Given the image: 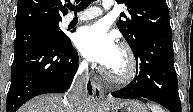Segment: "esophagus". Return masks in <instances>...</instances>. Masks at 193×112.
<instances>
[{
    "mask_svg": "<svg viewBox=\"0 0 193 112\" xmlns=\"http://www.w3.org/2000/svg\"><path fill=\"white\" fill-rule=\"evenodd\" d=\"M93 94L96 100H102L104 98V91L99 83L92 81Z\"/></svg>",
    "mask_w": 193,
    "mask_h": 112,
    "instance_id": "1",
    "label": "esophagus"
}]
</instances>
